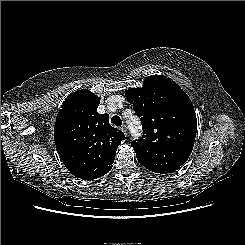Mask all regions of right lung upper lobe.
I'll return each mask as SVG.
<instances>
[{"label":"right lung upper lobe","instance_id":"right-lung-upper-lobe-1","mask_svg":"<svg viewBox=\"0 0 245 245\" xmlns=\"http://www.w3.org/2000/svg\"><path fill=\"white\" fill-rule=\"evenodd\" d=\"M100 98L87 89L73 92L56 118L54 141L65 167L76 177L93 180L112 168L116 150L125 136L98 114Z\"/></svg>","mask_w":245,"mask_h":245}]
</instances>
